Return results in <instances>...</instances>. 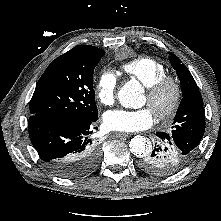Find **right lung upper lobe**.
Here are the masks:
<instances>
[{
    "label": "right lung upper lobe",
    "mask_w": 221,
    "mask_h": 221,
    "mask_svg": "<svg viewBox=\"0 0 221 221\" xmlns=\"http://www.w3.org/2000/svg\"><path fill=\"white\" fill-rule=\"evenodd\" d=\"M79 48V47H94V46H90V45H78V46H76V47H74V48Z\"/></svg>",
    "instance_id": "right-lung-upper-lobe-1"
}]
</instances>
